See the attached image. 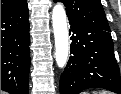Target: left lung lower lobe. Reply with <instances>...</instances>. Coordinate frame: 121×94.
I'll return each instance as SVG.
<instances>
[{
  "label": "left lung lower lobe",
  "mask_w": 121,
  "mask_h": 94,
  "mask_svg": "<svg viewBox=\"0 0 121 94\" xmlns=\"http://www.w3.org/2000/svg\"><path fill=\"white\" fill-rule=\"evenodd\" d=\"M69 23L72 43L70 58L60 78V94H79L88 88L121 94L111 33L70 18Z\"/></svg>",
  "instance_id": "obj_1"
}]
</instances>
